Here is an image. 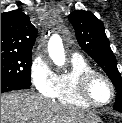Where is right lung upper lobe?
I'll list each match as a JSON object with an SVG mask.
<instances>
[{
	"instance_id": "cb5924a9",
	"label": "right lung upper lobe",
	"mask_w": 122,
	"mask_h": 123,
	"mask_svg": "<svg viewBox=\"0 0 122 123\" xmlns=\"http://www.w3.org/2000/svg\"><path fill=\"white\" fill-rule=\"evenodd\" d=\"M37 36L30 18L20 10L1 14V52L32 54Z\"/></svg>"
}]
</instances>
